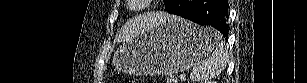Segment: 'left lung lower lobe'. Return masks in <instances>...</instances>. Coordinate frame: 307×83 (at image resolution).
<instances>
[{
    "label": "left lung lower lobe",
    "instance_id": "1",
    "mask_svg": "<svg viewBox=\"0 0 307 83\" xmlns=\"http://www.w3.org/2000/svg\"><path fill=\"white\" fill-rule=\"evenodd\" d=\"M228 7L227 0H173V4L167 9V12L199 25H210L227 37L229 29Z\"/></svg>",
    "mask_w": 307,
    "mask_h": 83
}]
</instances>
